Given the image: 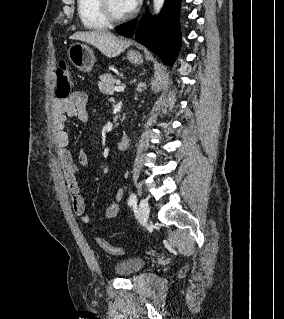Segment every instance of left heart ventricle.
<instances>
[{
    "mask_svg": "<svg viewBox=\"0 0 284 319\" xmlns=\"http://www.w3.org/2000/svg\"><path fill=\"white\" fill-rule=\"evenodd\" d=\"M110 5L116 15H125L130 12L126 7L124 0H110Z\"/></svg>",
    "mask_w": 284,
    "mask_h": 319,
    "instance_id": "left-heart-ventricle-1",
    "label": "left heart ventricle"
}]
</instances>
